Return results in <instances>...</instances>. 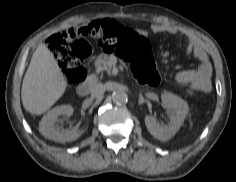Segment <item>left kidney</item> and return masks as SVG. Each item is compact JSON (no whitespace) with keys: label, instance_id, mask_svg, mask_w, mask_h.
Here are the masks:
<instances>
[{"label":"left kidney","instance_id":"obj_1","mask_svg":"<svg viewBox=\"0 0 236 182\" xmlns=\"http://www.w3.org/2000/svg\"><path fill=\"white\" fill-rule=\"evenodd\" d=\"M161 99L170 114L169 124L160 125L154 116L148 115L145 117V125L154 138L167 141L176 134L183 124L189 112V106L181 97L170 92L163 93Z\"/></svg>","mask_w":236,"mask_h":182}]
</instances>
